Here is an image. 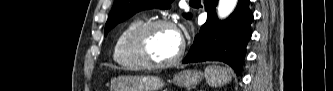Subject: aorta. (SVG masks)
Here are the masks:
<instances>
[{
    "label": "aorta",
    "mask_w": 333,
    "mask_h": 91,
    "mask_svg": "<svg viewBox=\"0 0 333 91\" xmlns=\"http://www.w3.org/2000/svg\"><path fill=\"white\" fill-rule=\"evenodd\" d=\"M237 0H219L218 16L223 19L229 16L237 5Z\"/></svg>",
    "instance_id": "1"
}]
</instances>
